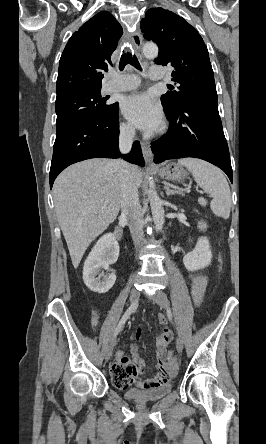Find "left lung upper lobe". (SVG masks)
Segmentation results:
<instances>
[{
	"label": "left lung upper lobe",
	"instance_id": "left-lung-upper-lobe-1",
	"mask_svg": "<svg viewBox=\"0 0 266 444\" xmlns=\"http://www.w3.org/2000/svg\"><path fill=\"white\" fill-rule=\"evenodd\" d=\"M140 27L144 38L159 47L154 61L174 67L172 81L179 86L169 88L170 91L161 96L165 112H174L188 101L217 99L209 53L193 26L169 10L152 8L146 12Z\"/></svg>",
	"mask_w": 266,
	"mask_h": 444
}]
</instances>
